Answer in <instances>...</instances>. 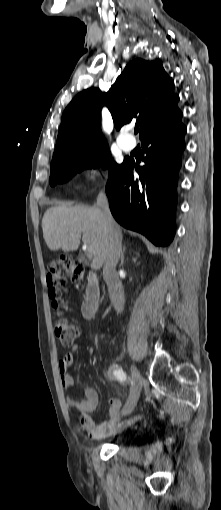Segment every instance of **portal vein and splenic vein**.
Instances as JSON below:
<instances>
[{
    "label": "portal vein and splenic vein",
    "mask_w": 221,
    "mask_h": 510,
    "mask_svg": "<svg viewBox=\"0 0 221 510\" xmlns=\"http://www.w3.org/2000/svg\"><path fill=\"white\" fill-rule=\"evenodd\" d=\"M84 242V246H85V253H86V256L88 259H92L93 258V255H94V252H93V249L91 247H88L87 243L85 240H83Z\"/></svg>",
    "instance_id": "obj_1"
}]
</instances>
